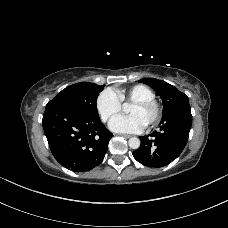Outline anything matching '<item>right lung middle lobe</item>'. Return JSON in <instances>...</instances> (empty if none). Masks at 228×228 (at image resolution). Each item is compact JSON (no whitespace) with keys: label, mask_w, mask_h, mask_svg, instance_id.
I'll return each mask as SVG.
<instances>
[{"label":"right lung middle lobe","mask_w":228,"mask_h":228,"mask_svg":"<svg viewBox=\"0 0 228 228\" xmlns=\"http://www.w3.org/2000/svg\"><path fill=\"white\" fill-rule=\"evenodd\" d=\"M103 87L89 82L76 83L63 89L48 104H62L98 116L96 101Z\"/></svg>","instance_id":"obj_1"}]
</instances>
